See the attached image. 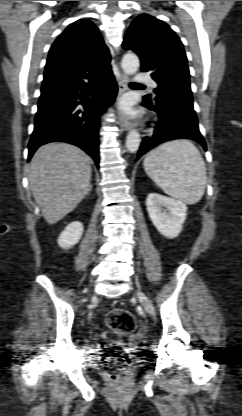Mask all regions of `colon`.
Here are the masks:
<instances>
[{
	"mask_svg": "<svg viewBox=\"0 0 242 416\" xmlns=\"http://www.w3.org/2000/svg\"><path fill=\"white\" fill-rule=\"evenodd\" d=\"M108 327L118 335H127L136 328L133 314L122 308L110 311L106 317ZM105 351V368L113 381L125 377L131 368V361L121 343L106 341L102 343Z\"/></svg>",
	"mask_w": 242,
	"mask_h": 416,
	"instance_id": "obj_1",
	"label": "colon"
}]
</instances>
